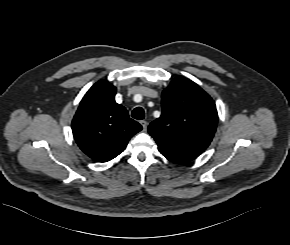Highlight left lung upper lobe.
Listing matches in <instances>:
<instances>
[{
    "instance_id": "left-lung-upper-lobe-1",
    "label": "left lung upper lobe",
    "mask_w": 290,
    "mask_h": 245,
    "mask_svg": "<svg viewBox=\"0 0 290 245\" xmlns=\"http://www.w3.org/2000/svg\"><path fill=\"white\" fill-rule=\"evenodd\" d=\"M212 98L193 81L176 77L162 93V115L148 127L159 151L175 163H187L210 144L217 126Z\"/></svg>"
}]
</instances>
